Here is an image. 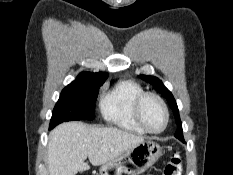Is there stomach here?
Here are the masks:
<instances>
[{"label":"stomach","mask_w":233,"mask_h":175,"mask_svg":"<svg viewBox=\"0 0 233 175\" xmlns=\"http://www.w3.org/2000/svg\"><path fill=\"white\" fill-rule=\"evenodd\" d=\"M162 155L160 144L153 140L143 141L118 158L103 164L100 175H139L150 168Z\"/></svg>","instance_id":"1"}]
</instances>
